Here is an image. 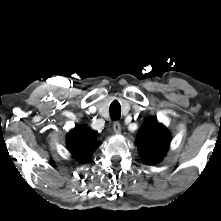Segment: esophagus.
<instances>
[{"label":"esophagus","mask_w":221,"mask_h":221,"mask_svg":"<svg viewBox=\"0 0 221 221\" xmlns=\"http://www.w3.org/2000/svg\"><path fill=\"white\" fill-rule=\"evenodd\" d=\"M113 130L116 134H120L121 133V125L119 122H114L113 123Z\"/></svg>","instance_id":"1"}]
</instances>
